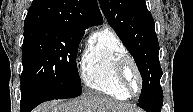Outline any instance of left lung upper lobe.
Listing matches in <instances>:
<instances>
[{"label": "left lung upper lobe", "instance_id": "1", "mask_svg": "<svg viewBox=\"0 0 193 112\" xmlns=\"http://www.w3.org/2000/svg\"><path fill=\"white\" fill-rule=\"evenodd\" d=\"M101 10L125 47L133 56L143 84L138 100L156 93L162 76L158 60L159 44L154 20L144 0H99Z\"/></svg>", "mask_w": 193, "mask_h": 112}]
</instances>
